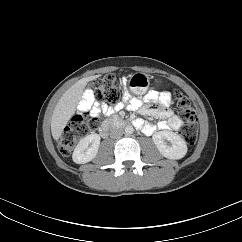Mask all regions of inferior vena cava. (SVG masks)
<instances>
[{
	"mask_svg": "<svg viewBox=\"0 0 242 242\" xmlns=\"http://www.w3.org/2000/svg\"><path fill=\"white\" fill-rule=\"evenodd\" d=\"M123 135V129L121 128H113L110 132V137L117 139Z\"/></svg>",
	"mask_w": 242,
	"mask_h": 242,
	"instance_id": "1",
	"label": "inferior vena cava"
}]
</instances>
